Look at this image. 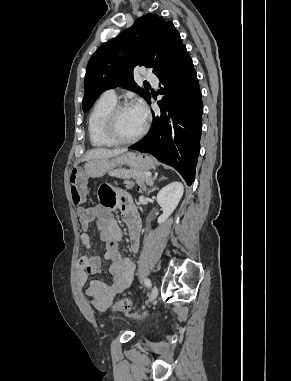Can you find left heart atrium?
Here are the masks:
<instances>
[{
    "instance_id": "1",
    "label": "left heart atrium",
    "mask_w": 291,
    "mask_h": 381,
    "mask_svg": "<svg viewBox=\"0 0 291 381\" xmlns=\"http://www.w3.org/2000/svg\"><path fill=\"white\" fill-rule=\"evenodd\" d=\"M132 107L135 109V111L138 113L140 118L145 123V121L147 119V115H148V111H147L145 104L141 101H137Z\"/></svg>"
}]
</instances>
